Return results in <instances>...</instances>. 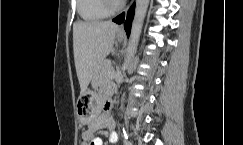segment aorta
Here are the masks:
<instances>
[{
  "label": "aorta",
  "instance_id": "1",
  "mask_svg": "<svg viewBox=\"0 0 243 145\" xmlns=\"http://www.w3.org/2000/svg\"><path fill=\"white\" fill-rule=\"evenodd\" d=\"M148 6L149 0H136L135 15L132 22L126 59L123 65L124 68L128 67L131 58L137 50Z\"/></svg>",
  "mask_w": 243,
  "mask_h": 145
}]
</instances>
